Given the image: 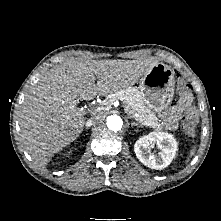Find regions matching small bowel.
<instances>
[{
    "label": "small bowel",
    "mask_w": 221,
    "mask_h": 221,
    "mask_svg": "<svg viewBox=\"0 0 221 221\" xmlns=\"http://www.w3.org/2000/svg\"><path fill=\"white\" fill-rule=\"evenodd\" d=\"M184 112L196 114V108L192 105V97L189 99L181 97L178 103L175 104L164 117V125L169 130L176 129L177 121Z\"/></svg>",
    "instance_id": "c3829d8e"
}]
</instances>
